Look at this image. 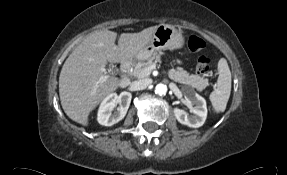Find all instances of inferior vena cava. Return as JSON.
Returning a JSON list of instances; mask_svg holds the SVG:
<instances>
[{"mask_svg":"<svg viewBox=\"0 0 287 175\" xmlns=\"http://www.w3.org/2000/svg\"><path fill=\"white\" fill-rule=\"evenodd\" d=\"M152 83L151 79H142V80H138V81H134L131 84V87L134 90H144L146 89L150 84Z\"/></svg>","mask_w":287,"mask_h":175,"instance_id":"602c4592","label":"inferior vena cava"}]
</instances>
